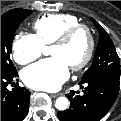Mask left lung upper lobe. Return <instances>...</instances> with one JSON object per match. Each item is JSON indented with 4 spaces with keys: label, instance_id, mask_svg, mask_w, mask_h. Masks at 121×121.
Returning a JSON list of instances; mask_svg holds the SVG:
<instances>
[{
    "label": "left lung upper lobe",
    "instance_id": "left-lung-upper-lobe-1",
    "mask_svg": "<svg viewBox=\"0 0 121 121\" xmlns=\"http://www.w3.org/2000/svg\"><path fill=\"white\" fill-rule=\"evenodd\" d=\"M91 20L99 31L100 39L94 55L93 63L85 72L81 81L100 77L119 80L120 63L114 44L101 25L93 18H91Z\"/></svg>",
    "mask_w": 121,
    "mask_h": 121
}]
</instances>
